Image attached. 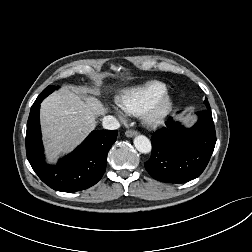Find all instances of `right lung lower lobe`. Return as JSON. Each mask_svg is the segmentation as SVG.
<instances>
[{"mask_svg": "<svg viewBox=\"0 0 252 252\" xmlns=\"http://www.w3.org/2000/svg\"><path fill=\"white\" fill-rule=\"evenodd\" d=\"M43 99H36L27 122L26 154L31 167L45 184L57 191L76 192L95 185L106 170L107 154L116 141L118 131H92L57 165H48L44 160L39 121Z\"/></svg>", "mask_w": 252, "mask_h": 252, "instance_id": "right-lung-lower-lobe-1", "label": "right lung lower lobe"}]
</instances>
